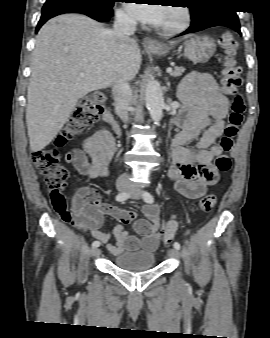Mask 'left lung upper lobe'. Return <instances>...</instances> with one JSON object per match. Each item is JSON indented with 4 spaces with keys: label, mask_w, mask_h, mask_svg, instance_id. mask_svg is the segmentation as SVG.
<instances>
[{
    "label": "left lung upper lobe",
    "mask_w": 270,
    "mask_h": 338,
    "mask_svg": "<svg viewBox=\"0 0 270 338\" xmlns=\"http://www.w3.org/2000/svg\"><path fill=\"white\" fill-rule=\"evenodd\" d=\"M229 0H190L191 26H196L208 17L226 11ZM197 4V5H195Z\"/></svg>",
    "instance_id": "1"
}]
</instances>
